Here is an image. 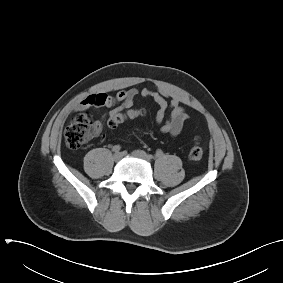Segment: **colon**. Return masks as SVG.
Returning <instances> with one entry per match:
<instances>
[{
    "mask_svg": "<svg viewBox=\"0 0 283 283\" xmlns=\"http://www.w3.org/2000/svg\"><path fill=\"white\" fill-rule=\"evenodd\" d=\"M145 114L144 109H129L119 112L108 119V126L116 128L119 124L128 119L137 118ZM95 134V122L87 113L76 115L65 130V141L71 149L83 146ZM203 157V150L196 142L188 153L192 161H200Z\"/></svg>",
    "mask_w": 283,
    "mask_h": 283,
    "instance_id": "obj_1",
    "label": "colon"
}]
</instances>
